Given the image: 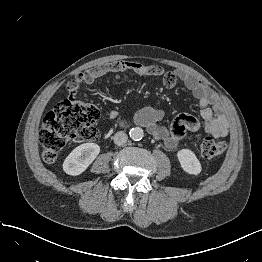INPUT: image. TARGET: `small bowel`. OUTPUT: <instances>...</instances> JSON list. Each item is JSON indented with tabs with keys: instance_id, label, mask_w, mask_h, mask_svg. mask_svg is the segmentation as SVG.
Listing matches in <instances>:
<instances>
[{
	"instance_id": "c3829d8e",
	"label": "small bowel",
	"mask_w": 262,
	"mask_h": 262,
	"mask_svg": "<svg viewBox=\"0 0 262 262\" xmlns=\"http://www.w3.org/2000/svg\"><path fill=\"white\" fill-rule=\"evenodd\" d=\"M126 69L133 70L137 75H163L164 85L169 89L174 88L178 81H181L198 100L201 121H196L188 114H180L174 119L170 129L158 124L163 117V112L159 108L145 107L136 113V122L146 127L147 131L157 140L163 141L167 148H175L187 132L203 130L215 137H224L229 134L227 119L223 114L224 104L201 80L183 70L165 72L164 68L158 65L144 67L127 61H118L100 65L89 71L91 80L86 84H91L96 78L111 72H123ZM108 116L114 122L118 120V115L114 111H110Z\"/></svg>"
}]
</instances>
